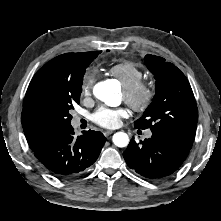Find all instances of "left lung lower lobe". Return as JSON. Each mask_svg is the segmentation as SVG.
<instances>
[{
	"label": "left lung lower lobe",
	"instance_id": "1",
	"mask_svg": "<svg viewBox=\"0 0 221 221\" xmlns=\"http://www.w3.org/2000/svg\"><path fill=\"white\" fill-rule=\"evenodd\" d=\"M190 149L158 134L136 142L131 140L123 157L128 167L150 180L164 179L183 164Z\"/></svg>",
	"mask_w": 221,
	"mask_h": 221
}]
</instances>
